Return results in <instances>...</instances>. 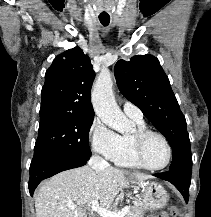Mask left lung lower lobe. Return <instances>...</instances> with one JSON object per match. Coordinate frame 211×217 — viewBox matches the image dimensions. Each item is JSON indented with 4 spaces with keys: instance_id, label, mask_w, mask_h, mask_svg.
Segmentation results:
<instances>
[{
    "instance_id": "0a47b994",
    "label": "left lung lower lobe",
    "mask_w": 211,
    "mask_h": 217,
    "mask_svg": "<svg viewBox=\"0 0 211 217\" xmlns=\"http://www.w3.org/2000/svg\"><path fill=\"white\" fill-rule=\"evenodd\" d=\"M191 174L192 172L185 170H169L167 172L154 174V176L171 182L183 195L186 203H188Z\"/></svg>"
}]
</instances>
